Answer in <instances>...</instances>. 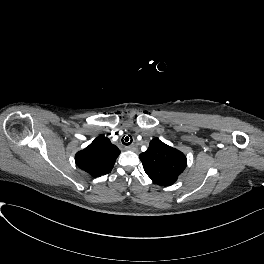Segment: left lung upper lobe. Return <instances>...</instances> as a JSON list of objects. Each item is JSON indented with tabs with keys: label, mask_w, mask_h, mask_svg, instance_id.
I'll return each instance as SVG.
<instances>
[{
	"label": "left lung upper lobe",
	"mask_w": 264,
	"mask_h": 264,
	"mask_svg": "<svg viewBox=\"0 0 264 264\" xmlns=\"http://www.w3.org/2000/svg\"><path fill=\"white\" fill-rule=\"evenodd\" d=\"M146 174L161 186L173 185L187 165L185 155L166 145L158 138L150 142L146 152L140 154Z\"/></svg>",
	"instance_id": "5c2ea615"
}]
</instances>
